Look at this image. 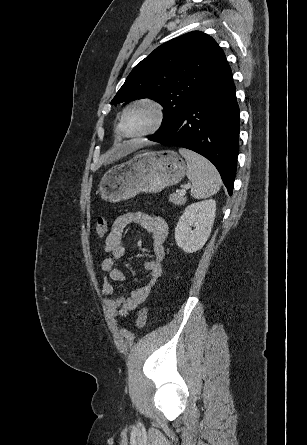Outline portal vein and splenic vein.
Returning a JSON list of instances; mask_svg holds the SVG:
<instances>
[{"label": "portal vein and splenic vein", "instance_id": "1", "mask_svg": "<svg viewBox=\"0 0 307 445\" xmlns=\"http://www.w3.org/2000/svg\"><path fill=\"white\" fill-rule=\"evenodd\" d=\"M190 186H191V182H188V184H184V186H182L181 192H186L187 188H190Z\"/></svg>", "mask_w": 307, "mask_h": 445}]
</instances>
